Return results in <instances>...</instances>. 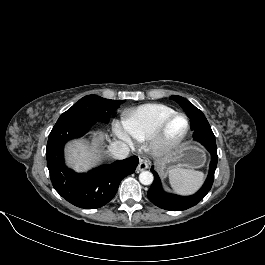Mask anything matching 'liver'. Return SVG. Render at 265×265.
Here are the masks:
<instances>
[{"label":"liver","mask_w":265,"mask_h":265,"mask_svg":"<svg viewBox=\"0 0 265 265\" xmlns=\"http://www.w3.org/2000/svg\"><path fill=\"white\" fill-rule=\"evenodd\" d=\"M92 145L84 140H75L65 147L67 164L77 172H84L94 167L101 160V151L98 149L107 135L102 132H94Z\"/></svg>","instance_id":"liver-1"}]
</instances>
